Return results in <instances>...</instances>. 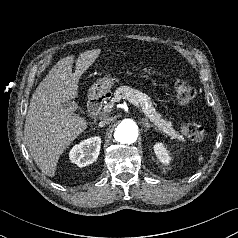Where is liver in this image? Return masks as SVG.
<instances>
[{
    "label": "liver",
    "mask_w": 238,
    "mask_h": 238,
    "mask_svg": "<svg viewBox=\"0 0 238 238\" xmlns=\"http://www.w3.org/2000/svg\"><path fill=\"white\" fill-rule=\"evenodd\" d=\"M100 53V49L81 53L75 73H72L74 56L60 59L31 97L24 138L30 155L47 176L55 175L60 155L87 128L86 120L64 102L78 96L79 79Z\"/></svg>",
    "instance_id": "6515ba94"
}]
</instances>
